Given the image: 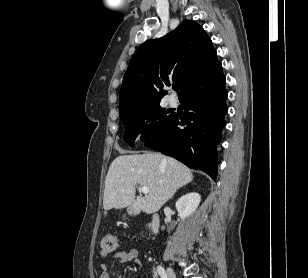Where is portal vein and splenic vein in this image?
<instances>
[{
    "label": "portal vein and splenic vein",
    "mask_w": 308,
    "mask_h": 278,
    "mask_svg": "<svg viewBox=\"0 0 308 278\" xmlns=\"http://www.w3.org/2000/svg\"><path fill=\"white\" fill-rule=\"evenodd\" d=\"M141 191L143 194H148L149 193V188L147 186H142Z\"/></svg>",
    "instance_id": "portal-vein-and-splenic-vein-1"
}]
</instances>
